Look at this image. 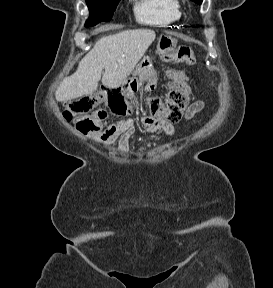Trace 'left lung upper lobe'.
Instances as JSON below:
<instances>
[{
  "mask_svg": "<svg viewBox=\"0 0 273 288\" xmlns=\"http://www.w3.org/2000/svg\"><path fill=\"white\" fill-rule=\"evenodd\" d=\"M194 2H196L197 4H201L202 3V0H192Z\"/></svg>",
  "mask_w": 273,
  "mask_h": 288,
  "instance_id": "obj_1",
  "label": "left lung upper lobe"
}]
</instances>
